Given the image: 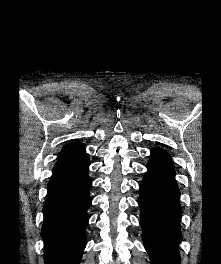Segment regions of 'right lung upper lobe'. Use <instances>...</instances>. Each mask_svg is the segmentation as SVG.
Returning a JSON list of instances; mask_svg holds the SVG:
<instances>
[{
	"mask_svg": "<svg viewBox=\"0 0 221 264\" xmlns=\"http://www.w3.org/2000/svg\"><path fill=\"white\" fill-rule=\"evenodd\" d=\"M84 153L85 149L82 145H80L79 143H69L62 148L58 161L82 155Z\"/></svg>",
	"mask_w": 221,
	"mask_h": 264,
	"instance_id": "1",
	"label": "right lung upper lobe"
}]
</instances>
